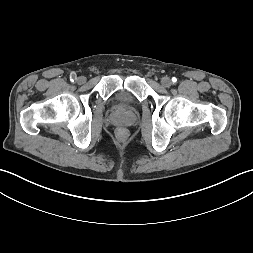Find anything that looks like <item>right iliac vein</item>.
Listing matches in <instances>:
<instances>
[{"label": "right iliac vein", "instance_id": "1", "mask_svg": "<svg viewBox=\"0 0 253 253\" xmlns=\"http://www.w3.org/2000/svg\"><path fill=\"white\" fill-rule=\"evenodd\" d=\"M76 81L78 84H84L86 82V78L84 76H79Z\"/></svg>", "mask_w": 253, "mask_h": 253}]
</instances>
